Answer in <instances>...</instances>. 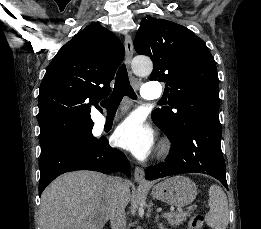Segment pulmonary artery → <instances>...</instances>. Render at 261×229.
Returning a JSON list of instances; mask_svg holds the SVG:
<instances>
[{"label": "pulmonary artery", "mask_w": 261, "mask_h": 229, "mask_svg": "<svg viewBox=\"0 0 261 229\" xmlns=\"http://www.w3.org/2000/svg\"><path fill=\"white\" fill-rule=\"evenodd\" d=\"M159 84L142 85L141 96L145 99H157L160 96L161 90Z\"/></svg>", "instance_id": "obj_1"}]
</instances>
